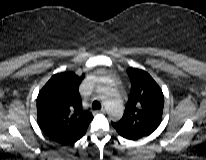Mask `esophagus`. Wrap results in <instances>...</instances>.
I'll use <instances>...</instances> for the list:
<instances>
[{
	"label": "esophagus",
	"mask_w": 206,
	"mask_h": 160,
	"mask_svg": "<svg viewBox=\"0 0 206 160\" xmlns=\"http://www.w3.org/2000/svg\"><path fill=\"white\" fill-rule=\"evenodd\" d=\"M100 113H105L106 112V109L104 107H102L100 110H99Z\"/></svg>",
	"instance_id": "esophagus-1"
}]
</instances>
